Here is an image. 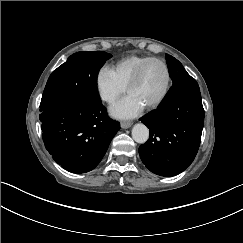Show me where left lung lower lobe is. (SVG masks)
Segmentation results:
<instances>
[{
    "label": "left lung lower lobe",
    "instance_id": "left-lung-lower-lobe-1",
    "mask_svg": "<svg viewBox=\"0 0 243 243\" xmlns=\"http://www.w3.org/2000/svg\"><path fill=\"white\" fill-rule=\"evenodd\" d=\"M140 120L150 131L148 141L139 147L147 169L170 177L183 172L193 162L204 125L200 90H177Z\"/></svg>",
    "mask_w": 243,
    "mask_h": 243
}]
</instances>
